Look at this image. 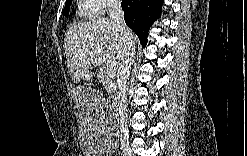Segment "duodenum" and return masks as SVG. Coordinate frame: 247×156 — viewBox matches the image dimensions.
Masks as SVG:
<instances>
[{"instance_id": "410a0bca", "label": "duodenum", "mask_w": 247, "mask_h": 156, "mask_svg": "<svg viewBox=\"0 0 247 156\" xmlns=\"http://www.w3.org/2000/svg\"><path fill=\"white\" fill-rule=\"evenodd\" d=\"M104 78V77H103ZM118 97H117V99H116V101H115V103H114V108H115V113L116 114H118V109H119V105H120V96L119 95H117Z\"/></svg>"}]
</instances>
